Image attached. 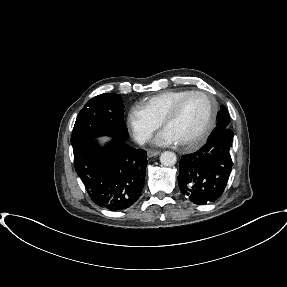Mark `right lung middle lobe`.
<instances>
[{"instance_id":"right-lung-middle-lobe-1","label":"right lung middle lobe","mask_w":287,"mask_h":287,"mask_svg":"<svg viewBox=\"0 0 287 287\" xmlns=\"http://www.w3.org/2000/svg\"><path fill=\"white\" fill-rule=\"evenodd\" d=\"M121 96L105 93L90 99L79 112L72 136L73 151L99 136L127 140L128 130L123 120Z\"/></svg>"}]
</instances>
